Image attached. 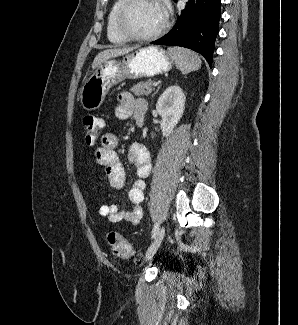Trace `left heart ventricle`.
Segmentation results:
<instances>
[{"label":"left heart ventricle","mask_w":298,"mask_h":325,"mask_svg":"<svg viewBox=\"0 0 298 325\" xmlns=\"http://www.w3.org/2000/svg\"><path fill=\"white\" fill-rule=\"evenodd\" d=\"M164 23L162 9L153 1L141 0L127 12L124 25L133 35L148 36L158 30Z\"/></svg>","instance_id":"obj_1"}]
</instances>
